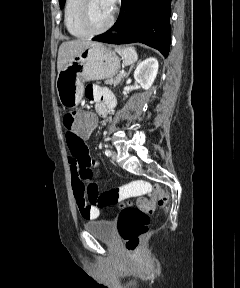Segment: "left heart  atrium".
<instances>
[{
    "label": "left heart atrium",
    "instance_id": "39dd6f15",
    "mask_svg": "<svg viewBox=\"0 0 240 288\" xmlns=\"http://www.w3.org/2000/svg\"><path fill=\"white\" fill-rule=\"evenodd\" d=\"M115 1L116 0H103V2L105 3V5L107 6V8L112 11L115 5Z\"/></svg>",
    "mask_w": 240,
    "mask_h": 288
}]
</instances>
